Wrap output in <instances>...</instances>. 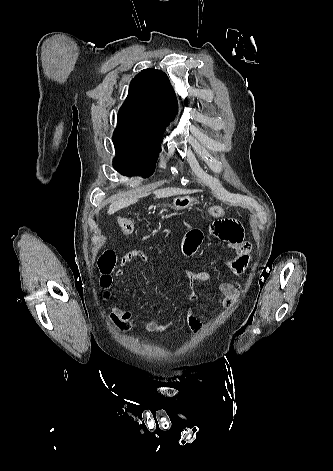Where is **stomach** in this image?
I'll list each match as a JSON object with an SVG mask.
<instances>
[{"label":"stomach","mask_w":333,"mask_h":471,"mask_svg":"<svg viewBox=\"0 0 333 471\" xmlns=\"http://www.w3.org/2000/svg\"><path fill=\"white\" fill-rule=\"evenodd\" d=\"M198 201L189 196H178L173 200L172 208L176 211L184 210L192 207Z\"/></svg>","instance_id":"0dacf381"}]
</instances>
